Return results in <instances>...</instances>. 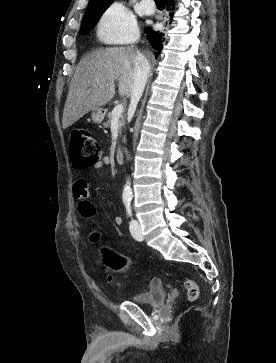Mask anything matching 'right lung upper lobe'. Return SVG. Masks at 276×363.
Instances as JSON below:
<instances>
[{
	"instance_id": "1",
	"label": "right lung upper lobe",
	"mask_w": 276,
	"mask_h": 363,
	"mask_svg": "<svg viewBox=\"0 0 276 363\" xmlns=\"http://www.w3.org/2000/svg\"><path fill=\"white\" fill-rule=\"evenodd\" d=\"M113 2V0H90L89 1V5H92V4H111Z\"/></svg>"
}]
</instances>
